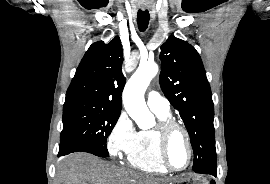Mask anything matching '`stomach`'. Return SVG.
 I'll return each mask as SVG.
<instances>
[{
    "label": "stomach",
    "instance_id": "obj_1",
    "mask_svg": "<svg viewBox=\"0 0 270 184\" xmlns=\"http://www.w3.org/2000/svg\"><path fill=\"white\" fill-rule=\"evenodd\" d=\"M174 184H209V183L206 179H204L201 176L189 175L177 179Z\"/></svg>",
    "mask_w": 270,
    "mask_h": 184
}]
</instances>
